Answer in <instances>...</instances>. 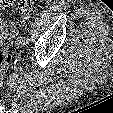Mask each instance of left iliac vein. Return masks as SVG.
Here are the masks:
<instances>
[{"label":"left iliac vein","mask_w":113,"mask_h":113,"mask_svg":"<svg viewBox=\"0 0 113 113\" xmlns=\"http://www.w3.org/2000/svg\"><path fill=\"white\" fill-rule=\"evenodd\" d=\"M28 42V38L27 37H19L17 40V45L19 47H23L24 45H26Z\"/></svg>","instance_id":"left-iliac-vein-1"}]
</instances>
